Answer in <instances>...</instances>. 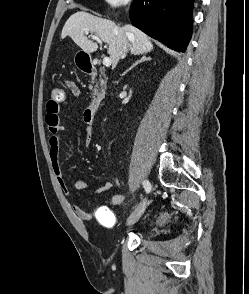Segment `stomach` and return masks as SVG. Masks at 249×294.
I'll return each mask as SVG.
<instances>
[{
  "label": "stomach",
  "mask_w": 249,
  "mask_h": 294,
  "mask_svg": "<svg viewBox=\"0 0 249 294\" xmlns=\"http://www.w3.org/2000/svg\"><path fill=\"white\" fill-rule=\"evenodd\" d=\"M85 55H88V56H89V54L86 53V52H85L84 54H83V53H78V54L76 55V56H77V57H76V63H78V58H79V57H85Z\"/></svg>",
  "instance_id": "1"
}]
</instances>
